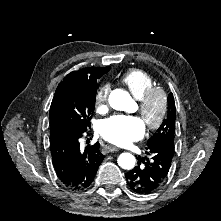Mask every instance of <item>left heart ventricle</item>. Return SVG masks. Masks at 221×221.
Wrapping results in <instances>:
<instances>
[{"mask_svg": "<svg viewBox=\"0 0 221 221\" xmlns=\"http://www.w3.org/2000/svg\"><path fill=\"white\" fill-rule=\"evenodd\" d=\"M158 113V104L155 103L152 107H151V111H150V115L152 118H154Z\"/></svg>", "mask_w": 221, "mask_h": 221, "instance_id": "left-heart-ventricle-1", "label": "left heart ventricle"}]
</instances>
